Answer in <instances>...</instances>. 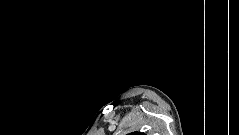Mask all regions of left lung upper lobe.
Instances as JSON below:
<instances>
[{
  "label": "left lung upper lobe",
  "mask_w": 239,
  "mask_h": 135,
  "mask_svg": "<svg viewBox=\"0 0 239 135\" xmlns=\"http://www.w3.org/2000/svg\"><path fill=\"white\" fill-rule=\"evenodd\" d=\"M128 135H145L144 133H140V132H132Z\"/></svg>",
  "instance_id": "left-lung-upper-lobe-1"
}]
</instances>
